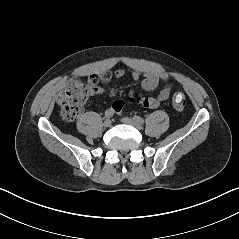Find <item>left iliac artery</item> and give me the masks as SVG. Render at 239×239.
<instances>
[{
    "mask_svg": "<svg viewBox=\"0 0 239 239\" xmlns=\"http://www.w3.org/2000/svg\"><path fill=\"white\" fill-rule=\"evenodd\" d=\"M133 118H134L135 121H137L140 124L144 123V119L142 117H140V116H136L135 115Z\"/></svg>",
    "mask_w": 239,
    "mask_h": 239,
    "instance_id": "left-iliac-artery-1",
    "label": "left iliac artery"
}]
</instances>
